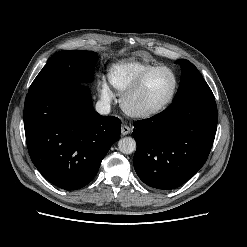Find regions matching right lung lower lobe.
<instances>
[{"mask_svg":"<svg viewBox=\"0 0 247 247\" xmlns=\"http://www.w3.org/2000/svg\"><path fill=\"white\" fill-rule=\"evenodd\" d=\"M24 128L29 155L43 177L77 190L97 174L120 137L121 122L93 109L89 87L63 84L28 91Z\"/></svg>","mask_w":247,"mask_h":247,"instance_id":"right-lung-lower-lobe-1","label":"right lung lower lobe"}]
</instances>
